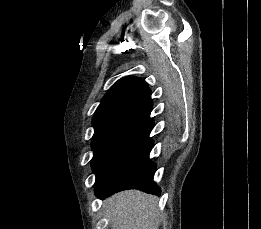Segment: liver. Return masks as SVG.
<instances>
[{
    "label": "liver",
    "mask_w": 261,
    "mask_h": 229,
    "mask_svg": "<svg viewBox=\"0 0 261 229\" xmlns=\"http://www.w3.org/2000/svg\"><path fill=\"white\" fill-rule=\"evenodd\" d=\"M153 201L157 199L141 191L112 195L104 203L109 225L112 229H158L162 217Z\"/></svg>",
    "instance_id": "1"
}]
</instances>
